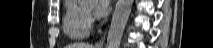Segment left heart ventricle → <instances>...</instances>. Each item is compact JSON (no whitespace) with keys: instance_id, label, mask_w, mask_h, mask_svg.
Wrapping results in <instances>:
<instances>
[{"instance_id":"left-heart-ventricle-1","label":"left heart ventricle","mask_w":213,"mask_h":48,"mask_svg":"<svg viewBox=\"0 0 213 48\" xmlns=\"http://www.w3.org/2000/svg\"><path fill=\"white\" fill-rule=\"evenodd\" d=\"M91 9H92V5H87V6L84 7V10H86L88 12H90Z\"/></svg>"}]
</instances>
